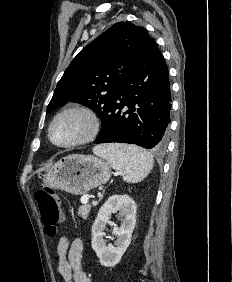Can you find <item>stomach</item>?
<instances>
[{
	"label": "stomach",
	"mask_w": 232,
	"mask_h": 282,
	"mask_svg": "<svg viewBox=\"0 0 232 282\" xmlns=\"http://www.w3.org/2000/svg\"><path fill=\"white\" fill-rule=\"evenodd\" d=\"M111 177L108 163L93 155L73 154L61 158L43 177V185L82 195L107 183Z\"/></svg>",
	"instance_id": "stomach-1"
}]
</instances>
